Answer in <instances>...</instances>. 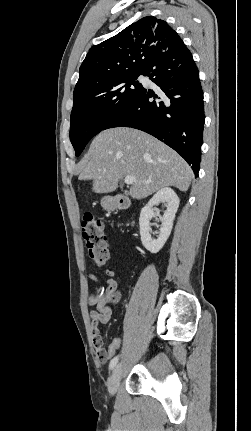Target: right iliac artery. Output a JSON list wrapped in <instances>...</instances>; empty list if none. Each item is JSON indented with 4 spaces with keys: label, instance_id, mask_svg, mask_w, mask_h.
Wrapping results in <instances>:
<instances>
[{
    "label": "right iliac artery",
    "instance_id": "right-iliac-artery-1",
    "mask_svg": "<svg viewBox=\"0 0 251 431\" xmlns=\"http://www.w3.org/2000/svg\"><path fill=\"white\" fill-rule=\"evenodd\" d=\"M117 362H118V356L114 357V358L110 361L109 368L112 370V369L116 366Z\"/></svg>",
    "mask_w": 251,
    "mask_h": 431
}]
</instances>
